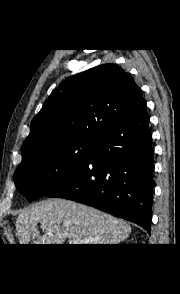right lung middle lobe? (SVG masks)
<instances>
[{"label":"right lung middle lobe","instance_id":"right-lung-middle-lobe-1","mask_svg":"<svg viewBox=\"0 0 180 294\" xmlns=\"http://www.w3.org/2000/svg\"><path fill=\"white\" fill-rule=\"evenodd\" d=\"M93 146L94 142L73 141L37 151L17 167L16 188L29 201L47 195L83 165Z\"/></svg>","mask_w":180,"mask_h":294}]
</instances>
